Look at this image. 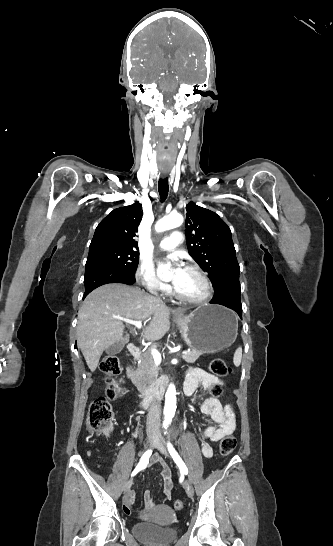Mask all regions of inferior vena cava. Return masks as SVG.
Here are the masks:
<instances>
[{"label": "inferior vena cava", "mask_w": 333, "mask_h": 546, "mask_svg": "<svg viewBox=\"0 0 333 546\" xmlns=\"http://www.w3.org/2000/svg\"><path fill=\"white\" fill-rule=\"evenodd\" d=\"M157 286V283L152 284L149 289L153 293V289ZM160 401L152 403L148 415H147V430L148 432H158L160 422Z\"/></svg>", "instance_id": "1"}]
</instances>
